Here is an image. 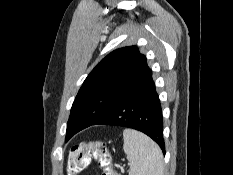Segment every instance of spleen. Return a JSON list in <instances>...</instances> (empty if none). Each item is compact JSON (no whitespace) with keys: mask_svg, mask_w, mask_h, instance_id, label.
Listing matches in <instances>:
<instances>
[{"mask_svg":"<svg viewBox=\"0 0 233 175\" xmlns=\"http://www.w3.org/2000/svg\"><path fill=\"white\" fill-rule=\"evenodd\" d=\"M123 150L129 161V175H164L163 154L159 146L145 134L123 131Z\"/></svg>","mask_w":233,"mask_h":175,"instance_id":"obj_1","label":"spleen"}]
</instances>
